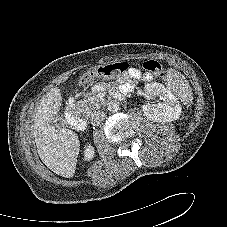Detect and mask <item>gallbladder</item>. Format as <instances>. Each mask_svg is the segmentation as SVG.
<instances>
[{"mask_svg": "<svg viewBox=\"0 0 227 227\" xmlns=\"http://www.w3.org/2000/svg\"><path fill=\"white\" fill-rule=\"evenodd\" d=\"M53 125L55 127H62L65 125L64 119L60 116L57 117V120L55 122H53Z\"/></svg>", "mask_w": 227, "mask_h": 227, "instance_id": "gallbladder-1", "label": "gallbladder"}]
</instances>
